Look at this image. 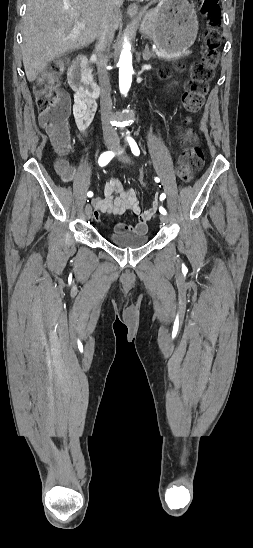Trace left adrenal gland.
Masks as SVG:
<instances>
[{
	"mask_svg": "<svg viewBox=\"0 0 253 548\" xmlns=\"http://www.w3.org/2000/svg\"><path fill=\"white\" fill-rule=\"evenodd\" d=\"M143 60L148 61L152 57H154V54L150 52L148 44L145 46V49L142 53Z\"/></svg>",
	"mask_w": 253,
	"mask_h": 548,
	"instance_id": "obj_1",
	"label": "left adrenal gland"
}]
</instances>
